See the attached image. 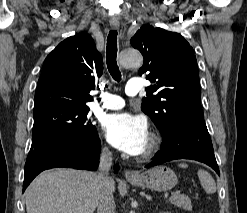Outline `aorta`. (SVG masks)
<instances>
[{"instance_id":"1","label":"aorta","mask_w":247,"mask_h":213,"mask_svg":"<svg viewBox=\"0 0 247 213\" xmlns=\"http://www.w3.org/2000/svg\"><path fill=\"white\" fill-rule=\"evenodd\" d=\"M120 63L124 68L140 67L143 58L137 50L126 49L120 53Z\"/></svg>"}]
</instances>
